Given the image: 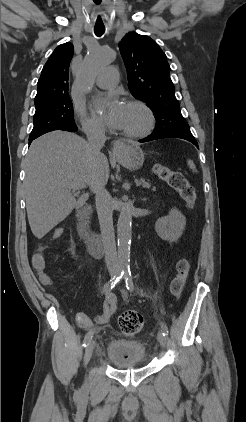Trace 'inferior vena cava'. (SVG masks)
<instances>
[{
	"label": "inferior vena cava",
	"instance_id": "obj_1",
	"mask_svg": "<svg viewBox=\"0 0 246 422\" xmlns=\"http://www.w3.org/2000/svg\"><path fill=\"white\" fill-rule=\"evenodd\" d=\"M88 147L94 156L101 154L100 150L105 144V131L101 126H91L87 132ZM106 181L99 178L92 187L95 194V204L103 239L105 262L111 272L119 270L115 235L112 219L111 196L105 188Z\"/></svg>",
	"mask_w": 246,
	"mask_h": 422
}]
</instances>
